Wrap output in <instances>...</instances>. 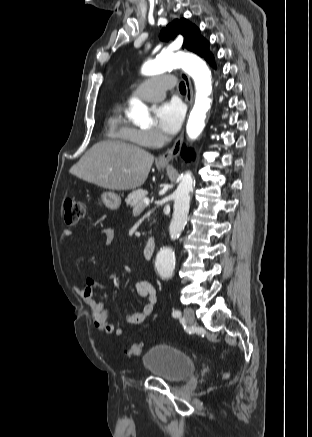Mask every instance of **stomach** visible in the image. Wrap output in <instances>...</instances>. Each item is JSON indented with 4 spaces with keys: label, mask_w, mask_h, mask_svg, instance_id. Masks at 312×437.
<instances>
[{
    "label": "stomach",
    "mask_w": 312,
    "mask_h": 437,
    "mask_svg": "<svg viewBox=\"0 0 312 437\" xmlns=\"http://www.w3.org/2000/svg\"><path fill=\"white\" fill-rule=\"evenodd\" d=\"M167 165H160V168H164ZM101 202L110 210H117L121 205V198L119 195L112 191H106L101 194Z\"/></svg>",
    "instance_id": "stomach-1"
}]
</instances>
